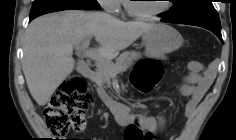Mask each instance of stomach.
I'll use <instances>...</instances> for the list:
<instances>
[{
  "mask_svg": "<svg viewBox=\"0 0 236 140\" xmlns=\"http://www.w3.org/2000/svg\"><path fill=\"white\" fill-rule=\"evenodd\" d=\"M142 40L148 56H162L183 45L182 35L173 27L162 23L144 32Z\"/></svg>",
  "mask_w": 236,
  "mask_h": 140,
  "instance_id": "stomach-1",
  "label": "stomach"
}]
</instances>
